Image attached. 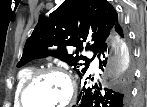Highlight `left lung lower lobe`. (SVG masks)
Instances as JSON below:
<instances>
[{"label":"left lung lower lobe","mask_w":147,"mask_h":107,"mask_svg":"<svg viewBox=\"0 0 147 107\" xmlns=\"http://www.w3.org/2000/svg\"><path fill=\"white\" fill-rule=\"evenodd\" d=\"M114 29L120 36L123 37V31L120 25H116ZM106 50L107 44L104 45V47L99 51L98 58H100V54H102L105 58ZM106 61L107 58L100 61V69H103V66H106ZM130 76L131 74L125 77V79L122 80L116 88H104V91H100L102 88H99L97 85L93 87L97 90L93 91L90 87H86L87 82L84 81L78 103L73 107H127L130 99ZM84 77L85 74L80 78L84 79ZM87 79H89V77H87L86 80Z\"/></svg>","instance_id":"obj_1"}]
</instances>
